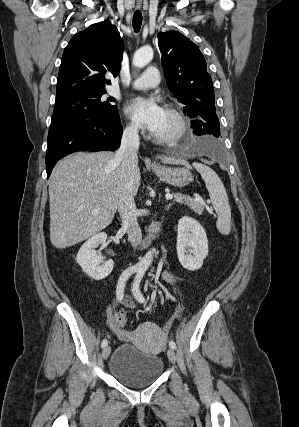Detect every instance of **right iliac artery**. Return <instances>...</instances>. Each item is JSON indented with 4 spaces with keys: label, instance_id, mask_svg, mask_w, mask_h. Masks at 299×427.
I'll return each mask as SVG.
<instances>
[{
    "label": "right iliac artery",
    "instance_id": "obj_1",
    "mask_svg": "<svg viewBox=\"0 0 299 427\" xmlns=\"http://www.w3.org/2000/svg\"><path fill=\"white\" fill-rule=\"evenodd\" d=\"M139 268L136 266H131L129 268H127L126 270H124V272L120 275L118 283H117V287H116V297L117 300L121 302V300L123 299L124 296V288H125V284L126 281L128 280V278L138 272ZM108 341L107 339H104L101 343V347H105L107 346Z\"/></svg>",
    "mask_w": 299,
    "mask_h": 427
}]
</instances>
